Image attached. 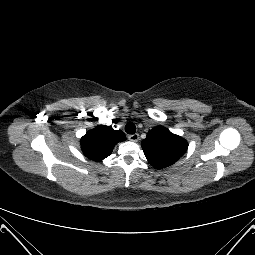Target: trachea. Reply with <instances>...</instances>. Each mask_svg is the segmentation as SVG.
I'll use <instances>...</instances> for the list:
<instances>
[{"mask_svg":"<svg viewBox=\"0 0 255 255\" xmlns=\"http://www.w3.org/2000/svg\"><path fill=\"white\" fill-rule=\"evenodd\" d=\"M125 131L127 132V134H134L136 132V126L133 123H127L125 126Z\"/></svg>","mask_w":255,"mask_h":255,"instance_id":"1","label":"trachea"}]
</instances>
